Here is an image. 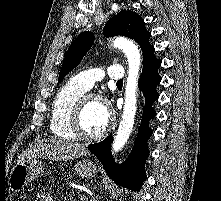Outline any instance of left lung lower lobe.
Returning <instances> with one entry per match:
<instances>
[{
    "mask_svg": "<svg viewBox=\"0 0 221 201\" xmlns=\"http://www.w3.org/2000/svg\"><path fill=\"white\" fill-rule=\"evenodd\" d=\"M160 66L161 61L156 57L143 66L139 84L145 96L144 113L135 145L127 160L121 165H117L114 162L110 151L112 136H108L100 143L88 146V149L101 161L108 176L118 185L132 191H139L146 178L144 165L149 156L147 140L152 134L148 124L150 119L156 115L152 104L159 97L156 86L161 81V77L158 74Z\"/></svg>",
    "mask_w": 221,
    "mask_h": 201,
    "instance_id": "obj_1",
    "label": "left lung lower lobe"
}]
</instances>
